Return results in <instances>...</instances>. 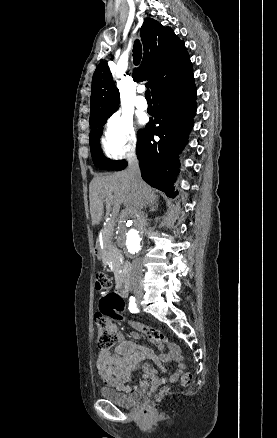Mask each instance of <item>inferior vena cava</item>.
<instances>
[{"label": "inferior vena cava", "mask_w": 277, "mask_h": 438, "mask_svg": "<svg viewBox=\"0 0 277 438\" xmlns=\"http://www.w3.org/2000/svg\"><path fill=\"white\" fill-rule=\"evenodd\" d=\"M128 176H129V184L132 190H139L142 184L141 172L139 168V162L136 154H132V156H128ZM142 278V262L140 258H135L133 260V272L131 274L130 284L132 286V290H141L140 288V280Z\"/></svg>", "instance_id": "1"}]
</instances>
